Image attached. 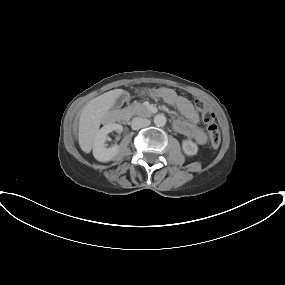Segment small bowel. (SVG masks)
I'll return each mask as SVG.
<instances>
[{"label":"small bowel","instance_id":"1","mask_svg":"<svg viewBox=\"0 0 285 285\" xmlns=\"http://www.w3.org/2000/svg\"><path fill=\"white\" fill-rule=\"evenodd\" d=\"M150 94L154 98H161L168 104L175 106L179 114L183 117V119H176L174 121L173 127L175 131L195 140L199 145L207 143V134L199 126V114L187 98L177 94L173 89L166 87L153 90Z\"/></svg>","mask_w":285,"mask_h":285}]
</instances>
